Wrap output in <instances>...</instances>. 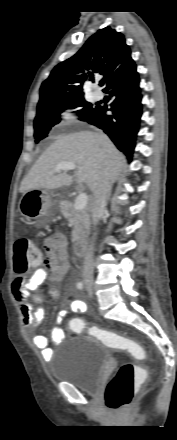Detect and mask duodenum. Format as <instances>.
Listing matches in <instances>:
<instances>
[{
  "label": "duodenum",
  "instance_id": "410a0bca",
  "mask_svg": "<svg viewBox=\"0 0 177 440\" xmlns=\"http://www.w3.org/2000/svg\"><path fill=\"white\" fill-rule=\"evenodd\" d=\"M88 244L85 240H78L74 244V251L78 257H83L87 253Z\"/></svg>",
  "mask_w": 177,
  "mask_h": 440
}]
</instances>
